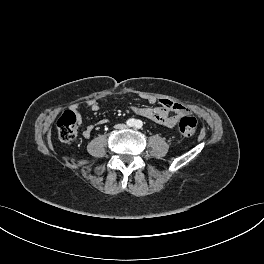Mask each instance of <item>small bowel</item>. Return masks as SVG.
Instances as JSON below:
<instances>
[{"instance_id":"obj_1","label":"small bowel","mask_w":264,"mask_h":264,"mask_svg":"<svg viewBox=\"0 0 264 264\" xmlns=\"http://www.w3.org/2000/svg\"><path fill=\"white\" fill-rule=\"evenodd\" d=\"M146 100L151 104L157 101V99L153 96L147 97ZM158 101L160 103V106L158 107H132L131 109L136 114L168 128H173L181 116L189 114V109L180 103L165 98L159 99ZM86 104L94 112L100 109L98 102L95 100H88ZM171 112H174L175 115H171ZM78 121L81 122V117L79 115ZM106 122L107 120L103 119L100 121V124H104ZM93 130V125H87L82 131L84 138H90Z\"/></svg>"}]
</instances>
